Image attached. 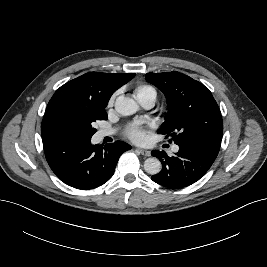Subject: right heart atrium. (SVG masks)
Wrapping results in <instances>:
<instances>
[{
  "label": "right heart atrium",
  "instance_id": "d8ad5b80",
  "mask_svg": "<svg viewBox=\"0 0 267 267\" xmlns=\"http://www.w3.org/2000/svg\"><path fill=\"white\" fill-rule=\"evenodd\" d=\"M116 93H114L110 98H109V100H108V103H107V106L108 107H112L113 106V104H114V101H115V98H116Z\"/></svg>",
  "mask_w": 267,
  "mask_h": 267
}]
</instances>
